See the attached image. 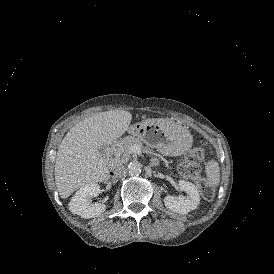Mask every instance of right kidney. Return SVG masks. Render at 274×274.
Segmentation results:
<instances>
[{
	"label": "right kidney",
	"instance_id": "1",
	"mask_svg": "<svg viewBox=\"0 0 274 274\" xmlns=\"http://www.w3.org/2000/svg\"><path fill=\"white\" fill-rule=\"evenodd\" d=\"M100 186L97 183H87L76 191L69 203V209L72 213L82 218H93L105 210V205L101 203L90 204L87 198L90 195L98 196Z\"/></svg>",
	"mask_w": 274,
	"mask_h": 274
}]
</instances>
